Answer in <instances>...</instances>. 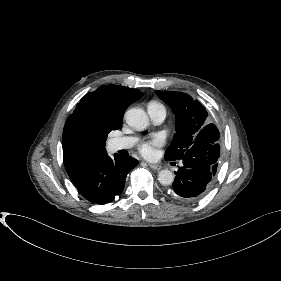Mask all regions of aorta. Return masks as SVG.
I'll return each instance as SVG.
<instances>
[{"mask_svg":"<svg viewBox=\"0 0 281 281\" xmlns=\"http://www.w3.org/2000/svg\"><path fill=\"white\" fill-rule=\"evenodd\" d=\"M126 123L135 130H144L149 123L148 116L143 109L132 108L125 113ZM161 185H170L174 181V174L170 170H161L158 174Z\"/></svg>","mask_w":281,"mask_h":281,"instance_id":"1","label":"aorta"}]
</instances>
